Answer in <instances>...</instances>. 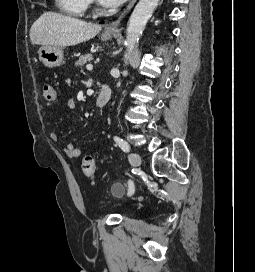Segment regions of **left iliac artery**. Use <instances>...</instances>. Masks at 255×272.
Instances as JSON below:
<instances>
[{
  "mask_svg": "<svg viewBox=\"0 0 255 272\" xmlns=\"http://www.w3.org/2000/svg\"><path fill=\"white\" fill-rule=\"evenodd\" d=\"M114 140L124 152H129L130 146L125 140H123L122 138L118 136H114ZM127 185L129 188V195H134L135 191H134V185L132 180H129V182H127Z\"/></svg>",
  "mask_w": 255,
  "mask_h": 272,
  "instance_id": "left-iliac-artery-1",
  "label": "left iliac artery"
}]
</instances>
